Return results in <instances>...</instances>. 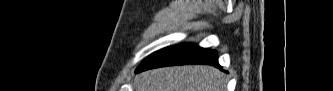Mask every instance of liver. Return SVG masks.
Segmentation results:
<instances>
[{
  "instance_id": "6515ba94",
  "label": "liver",
  "mask_w": 333,
  "mask_h": 91,
  "mask_svg": "<svg viewBox=\"0 0 333 91\" xmlns=\"http://www.w3.org/2000/svg\"><path fill=\"white\" fill-rule=\"evenodd\" d=\"M138 91H225L224 74L212 66L158 68L136 76Z\"/></svg>"
}]
</instances>
